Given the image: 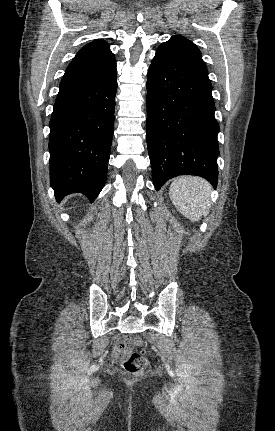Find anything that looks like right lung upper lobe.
Masks as SVG:
<instances>
[{
  "label": "right lung upper lobe",
  "instance_id": "obj_1",
  "mask_svg": "<svg viewBox=\"0 0 275 431\" xmlns=\"http://www.w3.org/2000/svg\"><path fill=\"white\" fill-rule=\"evenodd\" d=\"M116 69L114 54L104 40L85 45L69 64L59 88L98 80Z\"/></svg>",
  "mask_w": 275,
  "mask_h": 431
}]
</instances>
